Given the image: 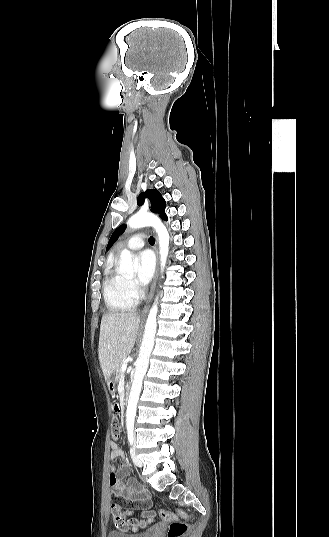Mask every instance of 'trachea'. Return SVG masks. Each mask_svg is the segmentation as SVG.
Instances as JSON below:
<instances>
[{
    "instance_id": "obj_1",
    "label": "trachea",
    "mask_w": 329,
    "mask_h": 537,
    "mask_svg": "<svg viewBox=\"0 0 329 537\" xmlns=\"http://www.w3.org/2000/svg\"><path fill=\"white\" fill-rule=\"evenodd\" d=\"M149 242H150V244H154V243H155V239H154L153 237H150V238H149Z\"/></svg>"
}]
</instances>
